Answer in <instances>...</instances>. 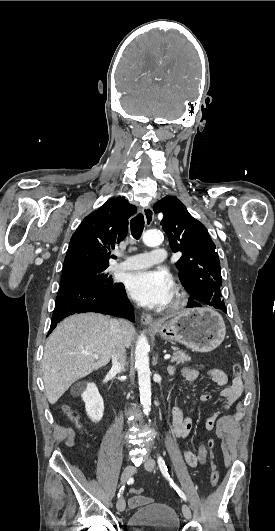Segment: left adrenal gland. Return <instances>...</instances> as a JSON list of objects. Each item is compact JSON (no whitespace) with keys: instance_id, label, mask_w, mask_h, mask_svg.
<instances>
[{"instance_id":"obj_1","label":"left adrenal gland","mask_w":275,"mask_h":531,"mask_svg":"<svg viewBox=\"0 0 275 531\" xmlns=\"http://www.w3.org/2000/svg\"><path fill=\"white\" fill-rule=\"evenodd\" d=\"M153 365H157V359H155V363H153Z\"/></svg>"}]
</instances>
